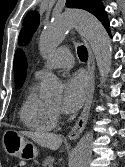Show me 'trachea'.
I'll list each match as a JSON object with an SVG mask.
<instances>
[{
    "mask_svg": "<svg viewBox=\"0 0 125 167\" xmlns=\"http://www.w3.org/2000/svg\"><path fill=\"white\" fill-rule=\"evenodd\" d=\"M78 56L82 61H87L88 59V52L84 46L78 47Z\"/></svg>",
    "mask_w": 125,
    "mask_h": 167,
    "instance_id": "trachea-1",
    "label": "trachea"
}]
</instances>
